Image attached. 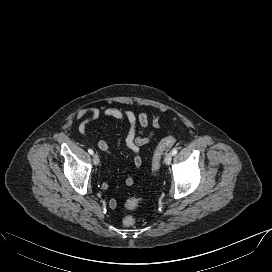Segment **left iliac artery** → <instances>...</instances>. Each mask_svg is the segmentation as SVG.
I'll list each match as a JSON object with an SVG mask.
<instances>
[{
  "label": "left iliac artery",
  "mask_w": 272,
  "mask_h": 272,
  "mask_svg": "<svg viewBox=\"0 0 272 272\" xmlns=\"http://www.w3.org/2000/svg\"><path fill=\"white\" fill-rule=\"evenodd\" d=\"M177 152H178V149H177V148H174V149L172 150L171 154L174 156V155L177 154Z\"/></svg>",
  "instance_id": "1"
}]
</instances>
